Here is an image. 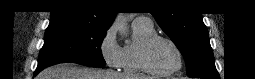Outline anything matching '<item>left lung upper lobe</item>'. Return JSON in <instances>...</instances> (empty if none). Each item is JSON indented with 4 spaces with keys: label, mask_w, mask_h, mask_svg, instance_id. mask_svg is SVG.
<instances>
[{
    "label": "left lung upper lobe",
    "mask_w": 255,
    "mask_h": 79,
    "mask_svg": "<svg viewBox=\"0 0 255 79\" xmlns=\"http://www.w3.org/2000/svg\"><path fill=\"white\" fill-rule=\"evenodd\" d=\"M158 9L152 14L161 29L181 51L189 77L217 76L208 31L200 13L170 11L175 1L155 0Z\"/></svg>",
    "instance_id": "obj_1"
}]
</instances>
